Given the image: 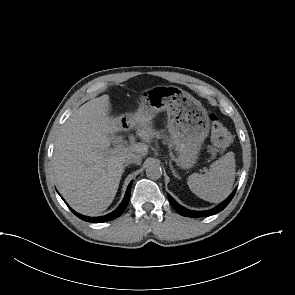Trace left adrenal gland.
Listing matches in <instances>:
<instances>
[{"instance_id":"a2214340","label":"left adrenal gland","mask_w":295,"mask_h":295,"mask_svg":"<svg viewBox=\"0 0 295 295\" xmlns=\"http://www.w3.org/2000/svg\"><path fill=\"white\" fill-rule=\"evenodd\" d=\"M170 169H171V171H172L174 177H176L177 179H181V177L175 172L173 166L171 165V162H170Z\"/></svg>"}]
</instances>
